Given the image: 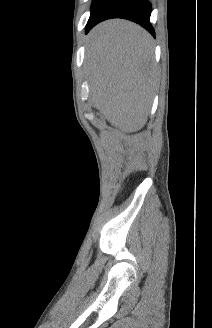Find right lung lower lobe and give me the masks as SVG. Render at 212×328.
<instances>
[{"instance_id":"right-lung-lower-lobe-1","label":"right lung lower lobe","mask_w":212,"mask_h":328,"mask_svg":"<svg viewBox=\"0 0 212 328\" xmlns=\"http://www.w3.org/2000/svg\"><path fill=\"white\" fill-rule=\"evenodd\" d=\"M151 4L147 0H98L91 9L86 33L101 21L110 18L131 20L155 36L150 23Z\"/></svg>"}]
</instances>
